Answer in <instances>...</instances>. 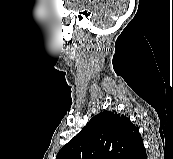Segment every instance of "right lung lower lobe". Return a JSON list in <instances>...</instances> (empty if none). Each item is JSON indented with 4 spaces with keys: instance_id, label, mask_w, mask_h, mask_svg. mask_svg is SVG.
<instances>
[{
    "instance_id": "1",
    "label": "right lung lower lobe",
    "mask_w": 173,
    "mask_h": 159,
    "mask_svg": "<svg viewBox=\"0 0 173 159\" xmlns=\"http://www.w3.org/2000/svg\"><path fill=\"white\" fill-rule=\"evenodd\" d=\"M136 159H147L146 151H143Z\"/></svg>"
}]
</instances>
